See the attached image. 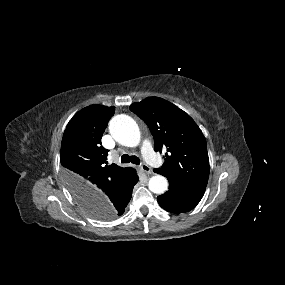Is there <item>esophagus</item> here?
Masks as SVG:
<instances>
[{
  "label": "esophagus",
  "instance_id": "obj_1",
  "mask_svg": "<svg viewBox=\"0 0 285 285\" xmlns=\"http://www.w3.org/2000/svg\"><path fill=\"white\" fill-rule=\"evenodd\" d=\"M141 171L145 174H151L152 173V170L151 168L147 165V164H143L141 167H140Z\"/></svg>",
  "mask_w": 285,
  "mask_h": 285
}]
</instances>
